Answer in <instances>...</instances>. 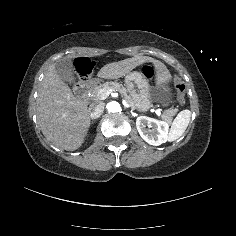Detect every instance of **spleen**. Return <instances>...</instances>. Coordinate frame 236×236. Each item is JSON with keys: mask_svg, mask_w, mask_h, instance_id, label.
<instances>
[{"mask_svg": "<svg viewBox=\"0 0 236 236\" xmlns=\"http://www.w3.org/2000/svg\"><path fill=\"white\" fill-rule=\"evenodd\" d=\"M191 118V112L189 110L181 111L173 121L168 139L174 141L178 139L185 132Z\"/></svg>", "mask_w": 236, "mask_h": 236, "instance_id": "1", "label": "spleen"}]
</instances>
